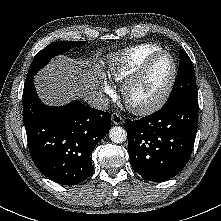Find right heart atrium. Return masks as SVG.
Returning <instances> with one entry per match:
<instances>
[{
    "mask_svg": "<svg viewBox=\"0 0 221 221\" xmlns=\"http://www.w3.org/2000/svg\"><path fill=\"white\" fill-rule=\"evenodd\" d=\"M101 87L102 89L107 92V93H111L113 92V87L112 85L110 84V82H108L106 79H102V82H101Z\"/></svg>",
    "mask_w": 221,
    "mask_h": 221,
    "instance_id": "1",
    "label": "right heart atrium"
}]
</instances>
